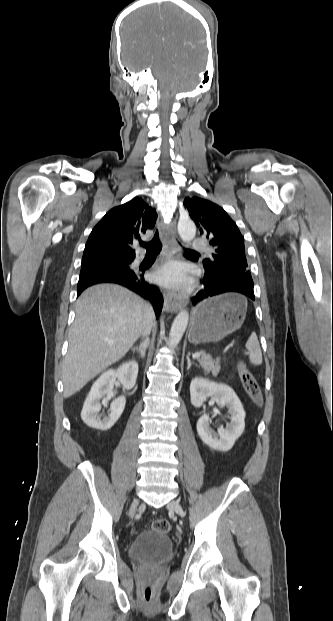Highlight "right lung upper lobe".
<instances>
[{"mask_svg": "<svg viewBox=\"0 0 333 621\" xmlns=\"http://www.w3.org/2000/svg\"><path fill=\"white\" fill-rule=\"evenodd\" d=\"M157 214L142 198L109 210L93 228L82 259L135 258L133 246L155 225Z\"/></svg>", "mask_w": 333, "mask_h": 621, "instance_id": "obj_1", "label": "right lung upper lobe"}]
</instances>
